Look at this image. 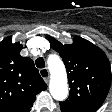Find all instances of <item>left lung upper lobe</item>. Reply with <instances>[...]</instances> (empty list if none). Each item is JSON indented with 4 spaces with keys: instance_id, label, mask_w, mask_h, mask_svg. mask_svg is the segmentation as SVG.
<instances>
[{
    "instance_id": "5c2ea615",
    "label": "left lung upper lobe",
    "mask_w": 112,
    "mask_h": 112,
    "mask_svg": "<svg viewBox=\"0 0 112 112\" xmlns=\"http://www.w3.org/2000/svg\"><path fill=\"white\" fill-rule=\"evenodd\" d=\"M65 64L69 98L60 102L62 112H95L104 102L111 84V67L105 53L86 39L75 36L72 44L50 38Z\"/></svg>"
}]
</instances>
